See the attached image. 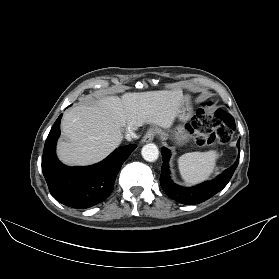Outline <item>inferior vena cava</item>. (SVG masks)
I'll list each match as a JSON object with an SVG mask.
<instances>
[{
    "label": "inferior vena cava",
    "mask_w": 279,
    "mask_h": 279,
    "mask_svg": "<svg viewBox=\"0 0 279 279\" xmlns=\"http://www.w3.org/2000/svg\"><path fill=\"white\" fill-rule=\"evenodd\" d=\"M135 129L132 126H128L126 129L125 138L130 141L132 138H137L136 133L134 132Z\"/></svg>",
    "instance_id": "602c4592"
}]
</instances>
